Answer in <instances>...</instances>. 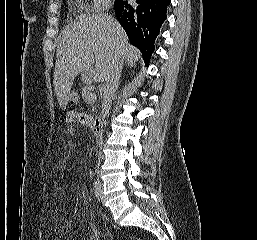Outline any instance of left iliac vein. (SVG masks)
<instances>
[{"mask_svg":"<svg viewBox=\"0 0 257 240\" xmlns=\"http://www.w3.org/2000/svg\"><path fill=\"white\" fill-rule=\"evenodd\" d=\"M100 189H101V191H102V185L100 184Z\"/></svg>","mask_w":257,"mask_h":240,"instance_id":"4c4485c4","label":"left iliac vein"}]
</instances>
